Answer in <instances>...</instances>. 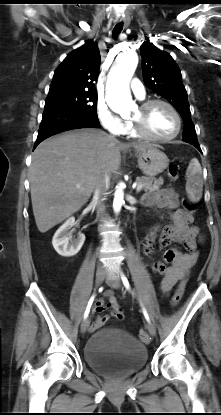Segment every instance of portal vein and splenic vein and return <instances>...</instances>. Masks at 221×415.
<instances>
[{
  "label": "portal vein and splenic vein",
  "mask_w": 221,
  "mask_h": 415,
  "mask_svg": "<svg viewBox=\"0 0 221 415\" xmlns=\"http://www.w3.org/2000/svg\"><path fill=\"white\" fill-rule=\"evenodd\" d=\"M135 186H136L137 192H139L142 189V184H137ZM77 187H79V185Z\"/></svg>",
  "instance_id": "18ae733b"
}]
</instances>
